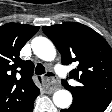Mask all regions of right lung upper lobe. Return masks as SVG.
Returning a JSON list of instances; mask_svg holds the SVG:
<instances>
[{"label":"right lung upper lobe","mask_w":112,"mask_h":112,"mask_svg":"<svg viewBox=\"0 0 112 112\" xmlns=\"http://www.w3.org/2000/svg\"><path fill=\"white\" fill-rule=\"evenodd\" d=\"M38 30L17 23L0 27V112H27L40 93L32 79L33 63L19 57L22 47Z\"/></svg>","instance_id":"cb5924a9"}]
</instances>
